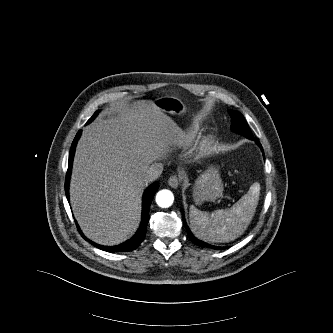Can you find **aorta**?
<instances>
[{
	"mask_svg": "<svg viewBox=\"0 0 333 333\" xmlns=\"http://www.w3.org/2000/svg\"><path fill=\"white\" fill-rule=\"evenodd\" d=\"M174 196L169 190H161L156 195V203L161 208H168L173 204Z\"/></svg>",
	"mask_w": 333,
	"mask_h": 333,
	"instance_id": "aorta-1",
	"label": "aorta"
}]
</instances>
